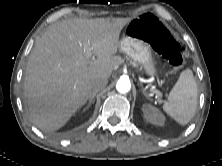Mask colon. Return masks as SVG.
I'll list each match as a JSON object with an SVG mask.
<instances>
[{
  "instance_id": "1",
  "label": "colon",
  "mask_w": 222,
  "mask_h": 166,
  "mask_svg": "<svg viewBox=\"0 0 222 166\" xmlns=\"http://www.w3.org/2000/svg\"><path fill=\"white\" fill-rule=\"evenodd\" d=\"M127 32L131 37L150 44L173 67L181 66L183 56L179 43L168 28L154 15L150 13L141 14L129 24Z\"/></svg>"
}]
</instances>
